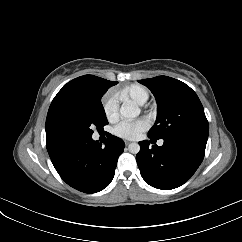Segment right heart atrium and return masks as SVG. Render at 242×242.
I'll return each instance as SVG.
<instances>
[{
  "mask_svg": "<svg viewBox=\"0 0 242 242\" xmlns=\"http://www.w3.org/2000/svg\"><path fill=\"white\" fill-rule=\"evenodd\" d=\"M103 111L109 121H114L119 115V100L112 92L107 93L102 100Z\"/></svg>",
  "mask_w": 242,
  "mask_h": 242,
  "instance_id": "obj_1",
  "label": "right heart atrium"
}]
</instances>
